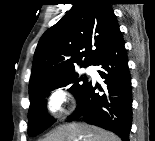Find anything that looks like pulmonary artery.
Returning <instances> with one entry per match:
<instances>
[{
  "instance_id": "1",
  "label": "pulmonary artery",
  "mask_w": 155,
  "mask_h": 141,
  "mask_svg": "<svg viewBox=\"0 0 155 141\" xmlns=\"http://www.w3.org/2000/svg\"><path fill=\"white\" fill-rule=\"evenodd\" d=\"M84 72L90 73V70L89 69H84Z\"/></svg>"
}]
</instances>
